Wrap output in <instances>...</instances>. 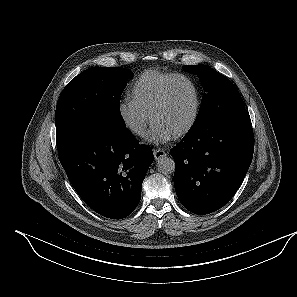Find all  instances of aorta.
<instances>
[{"label": "aorta", "instance_id": "762f6f07", "mask_svg": "<svg viewBox=\"0 0 297 297\" xmlns=\"http://www.w3.org/2000/svg\"><path fill=\"white\" fill-rule=\"evenodd\" d=\"M157 169L164 175L172 174L175 171V162L170 157L162 156L158 160Z\"/></svg>", "mask_w": 297, "mask_h": 297}]
</instances>
